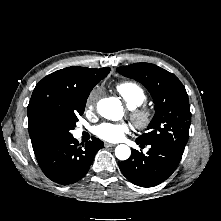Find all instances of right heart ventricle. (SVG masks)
<instances>
[{
    "instance_id": "right-heart-ventricle-1",
    "label": "right heart ventricle",
    "mask_w": 221,
    "mask_h": 221,
    "mask_svg": "<svg viewBox=\"0 0 221 221\" xmlns=\"http://www.w3.org/2000/svg\"><path fill=\"white\" fill-rule=\"evenodd\" d=\"M116 90L131 108L142 105L147 99L145 90L136 82H120L116 85Z\"/></svg>"
}]
</instances>
